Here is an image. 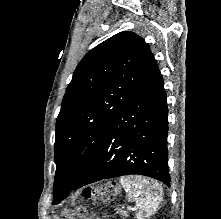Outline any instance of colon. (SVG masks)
<instances>
[{"label": "colon", "mask_w": 221, "mask_h": 219, "mask_svg": "<svg viewBox=\"0 0 221 219\" xmlns=\"http://www.w3.org/2000/svg\"><path fill=\"white\" fill-rule=\"evenodd\" d=\"M113 191H114L113 186L105 185L99 191L98 190H85L84 196L87 198L91 196L93 197L96 196L103 200H107ZM65 219H98V218L85 208H76L70 211L65 217Z\"/></svg>", "instance_id": "obj_1"}]
</instances>
